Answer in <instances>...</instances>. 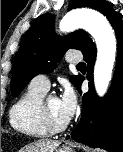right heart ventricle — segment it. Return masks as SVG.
I'll return each instance as SVG.
<instances>
[{
  "instance_id": "obj_1",
  "label": "right heart ventricle",
  "mask_w": 123,
  "mask_h": 152,
  "mask_svg": "<svg viewBox=\"0 0 123 152\" xmlns=\"http://www.w3.org/2000/svg\"><path fill=\"white\" fill-rule=\"evenodd\" d=\"M46 91L29 86L12 105L9 121L14 130L31 138H43L49 133L39 116V103Z\"/></svg>"
}]
</instances>
